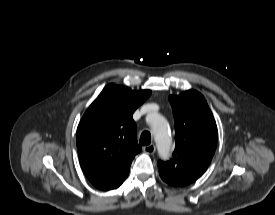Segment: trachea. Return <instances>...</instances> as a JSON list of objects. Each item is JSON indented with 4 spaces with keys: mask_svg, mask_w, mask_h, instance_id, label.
<instances>
[{
    "mask_svg": "<svg viewBox=\"0 0 275 215\" xmlns=\"http://www.w3.org/2000/svg\"><path fill=\"white\" fill-rule=\"evenodd\" d=\"M151 143V134L148 131H144L140 136V144L143 146Z\"/></svg>",
    "mask_w": 275,
    "mask_h": 215,
    "instance_id": "3493384b",
    "label": "trachea"
}]
</instances>
